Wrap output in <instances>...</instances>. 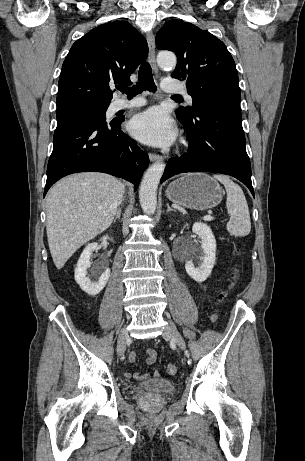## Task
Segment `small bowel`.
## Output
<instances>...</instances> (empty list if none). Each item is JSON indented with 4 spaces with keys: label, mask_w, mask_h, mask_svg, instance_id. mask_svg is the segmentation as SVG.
I'll return each instance as SVG.
<instances>
[{
    "label": "small bowel",
    "mask_w": 305,
    "mask_h": 461,
    "mask_svg": "<svg viewBox=\"0 0 305 461\" xmlns=\"http://www.w3.org/2000/svg\"><path fill=\"white\" fill-rule=\"evenodd\" d=\"M146 353H147V357H146V360H145V363L147 365H152L155 363L156 361V358H157V354H156V351L154 349H151V348H148L146 350ZM128 360L129 362H134L136 360V355L134 352H131L128 356ZM160 375V372L158 369H154L152 371V376L153 377H158ZM124 376L126 378H134V379H137V380H141L144 378V374L140 373V372H136V373H130V372H125L124 373Z\"/></svg>",
    "instance_id": "1"
}]
</instances>
